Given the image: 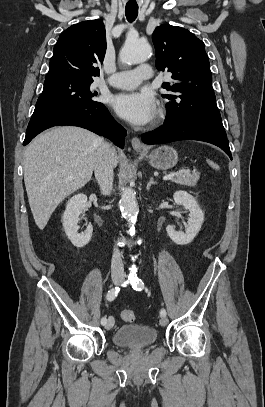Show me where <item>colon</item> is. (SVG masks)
Here are the masks:
<instances>
[{
	"label": "colon",
	"mask_w": 265,
	"mask_h": 407,
	"mask_svg": "<svg viewBox=\"0 0 265 407\" xmlns=\"http://www.w3.org/2000/svg\"><path fill=\"white\" fill-rule=\"evenodd\" d=\"M121 318L125 322H132L135 320V314L132 310L125 309L121 312Z\"/></svg>",
	"instance_id": "obj_1"
}]
</instances>
